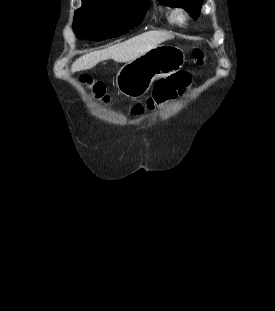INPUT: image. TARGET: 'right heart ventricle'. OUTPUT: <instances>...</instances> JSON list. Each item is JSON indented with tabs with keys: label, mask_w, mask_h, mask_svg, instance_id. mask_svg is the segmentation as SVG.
Returning a JSON list of instances; mask_svg holds the SVG:
<instances>
[{
	"label": "right heart ventricle",
	"mask_w": 275,
	"mask_h": 311,
	"mask_svg": "<svg viewBox=\"0 0 275 311\" xmlns=\"http://www.w3.org/2000/svg\"><path fill=\"white\" fill-rule=\"evenodd\" d=\"M166 21H167V23H168L169 25H174L173 20H172V15H171V14H168V15L166 16Z\"/></svg>",
	"instance_id": "right-heart-ventricle-1"
}]
</instances>
